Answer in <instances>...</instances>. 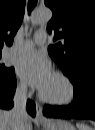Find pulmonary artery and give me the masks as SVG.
I'll use <instances>...</instances> for the list:
<instances>
[{"label":"pulmonary artery","mask_w":95,"mask_h":130,"mask_svg":"<svg viewBox=\"0 0 95 130\" xmlns=\"http://www.w3.org/2000/svg\"><path fill=\"white\" fill-rule=\"evenodd\" d=\"M47 39L48 35L46 32L37 31L34 34V40L27 39L20 42L19 44L13 45L8 52L9 54L14 55L30 51L35 46V44H44L47 41Z\"/></svg>","instance_id":"1"}]
</instances>
